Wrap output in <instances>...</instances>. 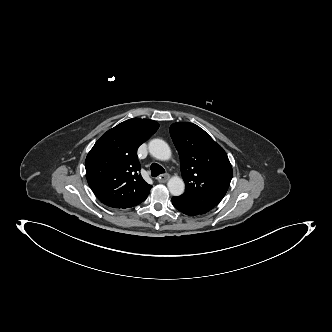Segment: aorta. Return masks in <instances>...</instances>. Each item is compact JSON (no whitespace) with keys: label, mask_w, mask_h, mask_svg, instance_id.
<instances>
[{"label":"aorta","mask_w":332,"mask_h":332,"mask_svg":"<svg viewBox=\"0 0 332 332\" xmlns=\"http://www.w3.org/2000/svg\"><path fill=\"white\" fill-rule=\"evenodd\" d=\"M150 154L156 159L166 161L171 158V149L168 144L162 139H153L148 144ZM167 187L171 195L179 196L183 194L185 189L184 181L178 177L173 176L167 183Z\"/></svg>","instance_id":"1"}]
</instances>
